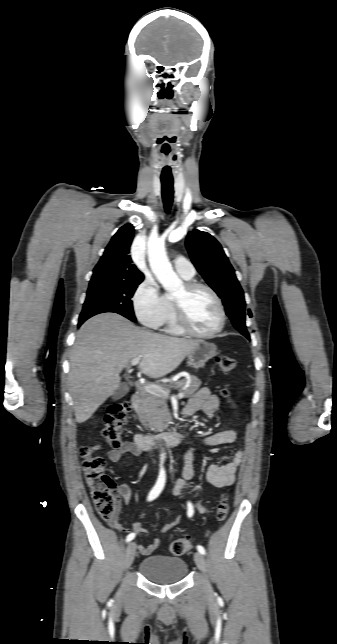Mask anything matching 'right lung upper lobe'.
<instances>
[{
  "instance_id": "1",
  "label": "right lung upper lobe",
  "mask_w": 337,
  "mask_h": 644,
  "mask_svg": "<svg viewBox=\"0 0 337 644\" xmlns=\"http://www.w3.org/2000/svg\"><path fill=\"white\" fill-rule=\"evenodd\" d=\"M133 232L131 224H126L117 231L95 266L90 283L143 281V274L132 264L129 255Z\"/></svg>"
}]
</instances>
